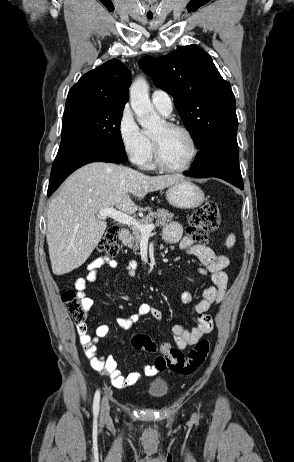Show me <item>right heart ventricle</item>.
I'll return each mask as SVG.
<instances>
[{"mask_svg": "<svg viewBox=\"0 0 294 462\" xmlns=\"http://www.w3.org/2000/svg\"><path fill=\"white\" fill-rule=\"evenodd\" d=\"M148 142H149V152L146 158L145 163L143 164L147 168H154V155H153V143H152V138L150 136H147Z\"/></svg>", "mask_w": 294, "mask_h": 462, "instance_id": "obj_1", "label": "right heart ventricle"}]
</instances>
